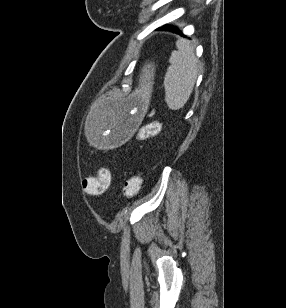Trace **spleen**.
<instances>
[{"label": "spleen", "instance_id": "1", "mask_svg": "<svg viewBox=\"0 0 286 308\" xmlns=\"http://www.w3.org/2000/svg\"><path fill=\"white\" fill-rule=\"evenodd\" d=\"M170 56V66L164 77L165 101L172 110H179L188 101L198 74L194 46L186 39L177 43Z\"/></svg>", "mask_w": 286, "mask_h": 308}]
</instances>
